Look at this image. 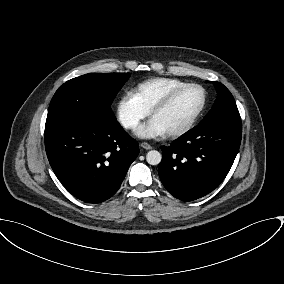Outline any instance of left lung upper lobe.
<instances>
[{"label": "left lung upper lobe", "instance_id": "obj_1", "mask_svg": "<svg viewBox=\"0 0 284 284\" xmlns=\"http://www.w3.org/2000/svg\"><path fill=\"white\" fill-rule=\"evenodd\" d=\"M217 90V98L211 110L199 124H205L221 119L241 120L235 100L230 91L221 83L213 82Z\"/></svg>", "mask_w": 284, "mask_h": 284}]
</instances>
